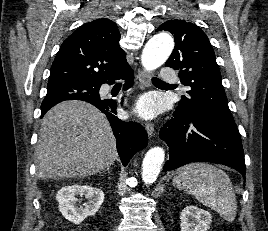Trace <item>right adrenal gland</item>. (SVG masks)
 I'll return each instance as SVG.
<instances>
[{"mask_svg": "<svg viewBox=\"0 0 268 231\" xmlns=\"http://www.w3.org/2000/svg\"><path fill=\"white\" fill-rule=\"evenodd\" d=\"M107 171L108 174H111L110 167H107L103 172Z\"/></svg>", "mask_w": 268, "mask_h": 231, "instance_id": "1", "label": "right adrenal gland"}]
</instances>
